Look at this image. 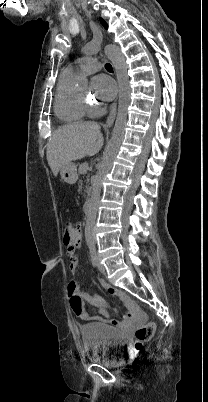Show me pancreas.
Listing matches in <instances>:
<instances>
[{"label":"pancreas","instance_id":"pancreas-1","mask_svg":"<svg viewBox=\"0 0 208 402\" xmlns=\"http://www.w3.org/2000/svg\"><path fill=\"white\" fill-rule=\"evenodd\" d=\"M84 166H85V164H81V166H79V174H87V172H86L87 168H84ZM89 178H90V176H87L86 190H85L87 196H90V194H91V188L89 186Z\"/></svg>","mask_w":208,"mask_h":402}]
</instances>
